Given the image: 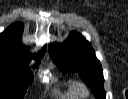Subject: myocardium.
<instances>
[{"instance_id":"obj_1","label":"myocardium","mask_w":128,"mask_h":99,"mask_svg":"<svg viewBox=\"0 0 128 99\" xmlns=\"http://www.w3.org/2000/svg\"><path fill=\"white\" fill-rule=\"evenodd\" d=\"M74 87H75V91H76L78 96L85 97L88 95V88L84 83L76 82L74 84Z\"/></svg>"}]
</instances>
